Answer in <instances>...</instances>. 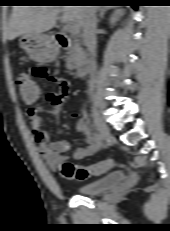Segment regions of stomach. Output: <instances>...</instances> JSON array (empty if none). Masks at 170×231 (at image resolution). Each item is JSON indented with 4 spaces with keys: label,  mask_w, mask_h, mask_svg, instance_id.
I'll list each match as a JSON object with an SVG mask.
<instances>
[{
    "label": "stomach",
    "mask_w": 170,
    "mask_h": 231,
    "mask_svg": "<svg viewBox=\"0 0 170 231\" xmlns=\"http://www.w3.org/2000/svg\"><path fill=\"white\" fill-rule=\"evenodd\" d=\"M18 43L32 60L40 63L51 62L58 54L57 45L51 37L42 33H25Z\"/></svg>",
    "instance_id": "0dacf381"
}]
</instances>
